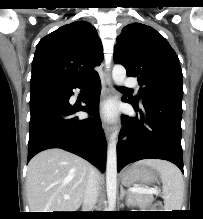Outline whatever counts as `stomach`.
Segmentation results:
<instances>
[{
    "instance_id": "obj_1",
    "label": "stomach",
    "mask_w": 203,
    "mask_h": 219,
    "mask_svg": "<svg viewBox=\"0 0 203 219\" xmlns=\"http://www.w3.org/2000/svg\"><path fill=\"white\" fill-rule=\"evenodd\" d=\"M159 172L147 165H133L123 171L121 179L122 183L131 185L134 183L153 184L159 180Z\"/></svg>"
}]
</instances>
